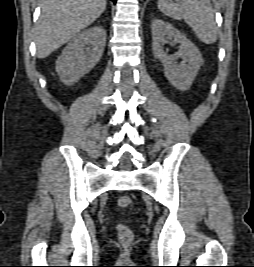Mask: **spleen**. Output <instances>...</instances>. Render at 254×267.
<instances>
[{
    "mask_svg": "<svg viewBox=\"0 0 254 267\" xmlns=\"http://www.w3.org/2000/svg\"><path fill=\"white\" fill-rule=\"evenodd\" d=\"M158 0V9L175 20H184L200 41L216 42L218 27L210 0Z\"/></svg>",
    "mask_w": 254,
    "mask_h": 267,
    "instance_id": "3e777b00",
    "label": "spleen"
}]
</instances>
